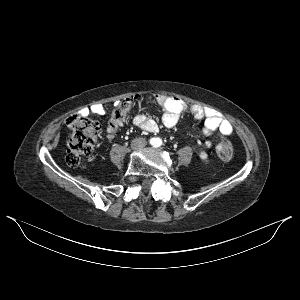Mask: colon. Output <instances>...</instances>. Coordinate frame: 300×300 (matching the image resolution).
Returning <instances> with one entry per match:
<instances>
[{"instance_id":"obj_1","label":"colon","mask_w":300,"mask_h":300,"mask_svg":"<svg viewBox=\"0 0 300 300\" xmlns=\"http://www.w3.org/2000/svg\"><path fill=\"white\" fill-rule=\"evenodd\" d=\"M142 102L137 96L121 100L112 112L107 132L114 133L124 123L127 113ZM66 124L70 129L67 138L66 162L71 167H78L82 159L92 153L99 127L95 121L77 114L69 116ZM216 151L222 160H230L233 156V147L228 141L219 143Z\"/></svg>"}]
</instances>
